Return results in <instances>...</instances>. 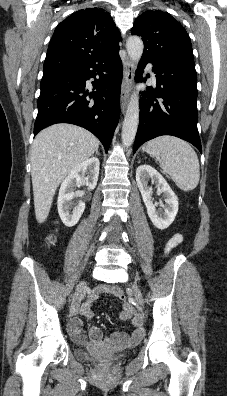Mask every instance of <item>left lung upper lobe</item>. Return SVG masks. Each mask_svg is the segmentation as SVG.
I'll return each instance as SVG.
<instances>
[{
	"label": "left lung upper lobe",
	"mask_w": 227,
	"mask_h": 396,
	"mask_svg": "<svg viewBox=\"0 0 227 396\" xmlns=\"http://www.w3.org/2000/svg\"><path fill=\"white\" fill-rule=\"evenodd\" d=\"M131 34L142 38L143 57L195 70L190 38L169 13L144 12L135 20Z\"/></svg>",
	"instance_id": "obj_1"
}]
</instances>
